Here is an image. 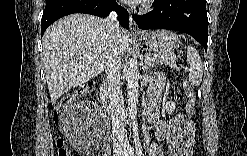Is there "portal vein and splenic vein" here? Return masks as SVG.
Masks as SVG:
<instances>
[{"instance_id":"1","label":"portal vein and splenic vein","mask_w":247,"mask_h":156,"mask_svg":"<svg viewBox=\"0 0 247 156\" xmlns=\"http://www.w3.org/2000/svg\"><path fill=\"white\" fill-rule=\"evenodd\" d=\"M145 62H146V63L148 62V58H145Z\"/></svg>"}]
</instances>
